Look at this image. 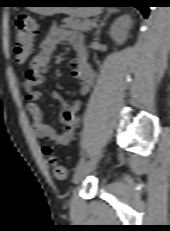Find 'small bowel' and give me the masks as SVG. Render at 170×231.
I'll use <instances>...</instances> for the list:
<instances>
[{
    "instance_id": "1",
    "label": "small bowel",
    "mask_w": 170,
    "mask_h": 231,
    "mask_svg": "<svg viewBox=\"0 0 170 231\" xmlns=\"http://www.w3.org/2000/svg\"><path fill=\"white\" fill-rule=\"evenodd\" d=\"M63 42L70 43L77 52V58L69 63V69L71 76L80 83V94L84 96L89 92L93 84V74L86 61L84 38L78 32L57 26L49 31L41 42L40 51L31 60V67L27 71L23 89L27 100V110L32 117V131L42 139L50 140L59 146H68L79 125L80 102L62 105L59 121L63 125V130L57 131L44 123L42 111L37 103L41 93L36 89L43 83V75L48 69L52 55L58 45ZM52 96L55 99L59 98V94L56 92Z\"/></svg>"
}]
</instances>
